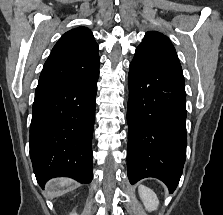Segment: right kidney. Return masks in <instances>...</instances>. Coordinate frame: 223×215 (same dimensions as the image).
I'll use <instances>...</instances> for the list:
<instances>
[{
	"label": "right kidney",
	"mask_w": 223,
	"mask_h": 215,
	"mask_svg": "<svg viewBox=\"0 0 223 215\" xmlns=\"http://www.w3.org/2000/svg\"><path fill=\"white\" fill-rule=\"evenodd\" d=\"M69 215H77V213H75V211H72V213H69Z\"/></svg>",
	"instance_id": "obj_1"
}]
</instances>
